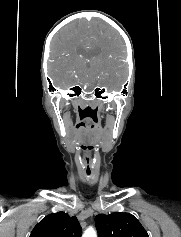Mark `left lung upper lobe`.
Returning a JSON list of instances; mask_svg holds the SVG:
<instances>
[{"label": "left lung upper lobe", "mask_w": 181, "mask_h": 237, "mask_svg": "<svg viewBox=\"0 0 181 237\" xmlns=\"http://www.w3.org/2000/svg\"><path fill=\"white\" fill-rule=\"evenodd\" d=\"M95 223L98 237H149L141 223L129 213L99 214Z\"/></svg>", "instance_id": "1"}]
</instances>
